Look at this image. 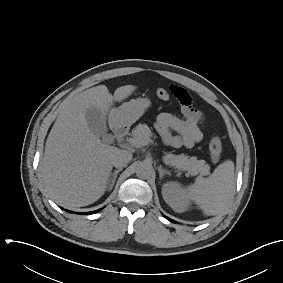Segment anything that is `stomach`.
Returning <instances> with one entry per match:
<instances>
[{
    "mask_svg": "<svg viewBox=\"0 0 283 283\" xmlns=\"http://www.w3.org/2000/svg\"><path fill=\"white\" fill-rule=\"evenodd\" d=\"M150 105L151 101L148 98L140 97L132 99L115 109L114 117L118 123L130 125L136 122L150 107Z\"/></svg>",
    "mask_w": 283,
    "mask_h": 283,
    "instance_id": "stomach-1",
    "label": "stomach"
}]
</instances>
